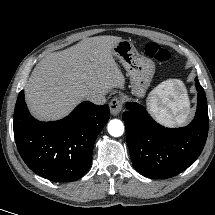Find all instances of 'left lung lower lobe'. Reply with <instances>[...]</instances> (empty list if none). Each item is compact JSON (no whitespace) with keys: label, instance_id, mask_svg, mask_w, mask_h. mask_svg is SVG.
<instances>
[{"label":"left lung lower lobe","instance_id":"1","mask_svg":"<svg viewBox=\"0 0 215 215\" xmlns=\"http://www.w3.org/2000/svg\"><path fill=\"white\" fill-rule=\"evenodd\" d=\"M198 92L196 115L182 128H165L155 122L145 108L133 102L123 113L126 139L136 170L153 179H166L187 169L205 145L209 118L204 89L195 78Z\"/></svg>","mask_w":215,"mask_h":215}]
</instances>
